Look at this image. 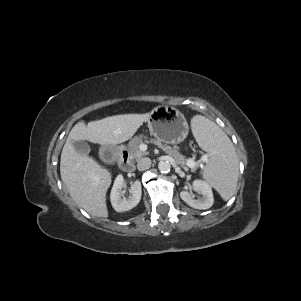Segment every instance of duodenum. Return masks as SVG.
<instances>
[{"mask_svg":"<svg viewBox=\"0 0 301 301\" xmlns=\"http://www.w3.org/2000/svg\"><path fill=\"white\" fill-rule=\"evenodd\" d=\"M99 156L110 165L119 162L122 171L130 173L134 170V163L131 160L127 151L118 144H106L99 149Z\"/></svg>","mask_w":301,"mask_h":301,"instance_id":"obj_1","label":"duodenum"}]
</instances>
